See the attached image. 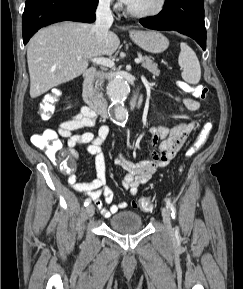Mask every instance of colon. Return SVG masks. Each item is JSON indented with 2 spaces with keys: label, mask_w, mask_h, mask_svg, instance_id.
I'll return each mask as SVG.
<instances>
[{
  "label": "colon",
  "mask_w": 243,
  "mask_h": 289,
  "mask_svg": "<svg viewBox=\"0 0 243 289\" xmlns=\"http://www.w3.org/2000/svg\"><path fill=\"white\" fill-rule=\"evenodd\" d=\"M181 88L200 99H205L208 93L207 87L203 85L192 87L187 83H181ZM60 96L61 93L58 90H53L44 96L39 108V114L43 120L50 119L54 114ZM211 129V123L204 124L195 142L186 152V158H191L202 148L208 139ZM31 142L35 147L44 150L49 159L59 165L63 172L71 174L75 171L74 157L69 150L63 149V144L55 131L46 129L41 133L34 134L31 136ZM134 205L143 211H151L154 207L150 198H141Z\"/></svg>",
  "instance_id": "5ec220e1"
}]
</instances>
